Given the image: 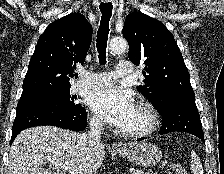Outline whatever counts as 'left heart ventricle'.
I'll use <instances>...</instances> for the list:
<instances>
[{
  "mask_svg": "<svg viewBox=\"0 0 224 174\" xmlns=\"http://www.w3.org/2000/svg\"><path fill=\"white\" fill-rule=\"evenodd\" d=\"M147 123V118L144 114V112L139 109L137 106H135L134 112L128 121L127 125L123 129V131H134L141 129L144 127Z\"/></svg>",
  "mask_w": 224,
  "mask_h": 174,
  "instance_id": "b2bd125f",
  "label": "left heart ventricle"
}]
</instances>
